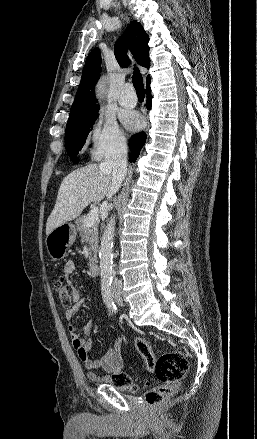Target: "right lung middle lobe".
<instances>
[{
	"label": "right lung middle lobe",
	"mask_w": 257,
	"mask_h": 439,
	"mask_svg": "<svg viewBox=\"0 0 257 439\" xmlns=\"http://www.w3.org/2000/svg\"><path fill=\"white\" fill-rule=\"evenodd\" d=\"M98 111L67 121L65 131V145L67 152L74 163L78 162L77 155L82 149L90 128L98 117Z\"/></svg>",
	"instance_id": "dd1d6c3e"
}]
</instances>
